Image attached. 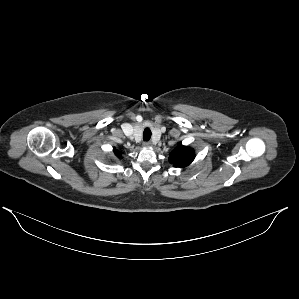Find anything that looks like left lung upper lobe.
Returning <instances> with one entry per match:
<instances>
[{"mask_svg": "<svg viewBox=\"0 0 299 299\" xmlns=\"http://www.w3.org/2000/svg\"><path fill=\"white\" fill-rule=\"evenodd\" d=\"M194 150L183 146L178 143L176 148L170 153L169 161L174 164L175 167H186L194 160Z\"/></svg>", "mask_w": 299, "mask_h": 299, "instance_id": "obj_1", "label": "left lung upper lobe"}]
</instances>
